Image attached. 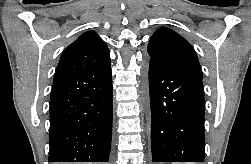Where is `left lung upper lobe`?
I'll list each match as a JSON object with an SVG mask.
<instances>
[{
  "instance_id": "1",
  "label": "left lung upper lobe",
  "mask_w": 251,
  "mask_h": 164,
  "mask_svg": "<svg viewBox=\"0 0 251 164\" xmlns=\"http://www.w3.org/2000/svg\"><path fill=\"white\" fill-rule=\"evenodd\" d=\"M149 61L164 63L202 78V70L193 47L171 29L160 28L148 44Z\"/></svg>"
}]
</instances>
